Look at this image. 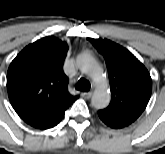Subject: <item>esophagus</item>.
Wrapping results in <instances>:
<instances>
[{
	"label": "esophagus",
	"instance_id": "34e87169",
	"mask_svg": "<svg viewBox=\"0 0 165 154\" xmlns=\"http://www.w3.org/2000/svg\"><path fill=\"white\" fill-rule=\"evenodd\" d=\"M84 96L89 99L92 96V92H86Z\"/></svg>",
	"mask_w": 165,
	"mask_h": 154
}]
</instances>
